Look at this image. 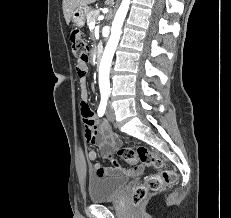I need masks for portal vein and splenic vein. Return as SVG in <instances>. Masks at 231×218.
<instances>
[{"label":"portal vein and splenic vein","mask_w":231,"mask_h":218,"mask_svg":"<svg viewBox=\"0 0 231 218\" xmlns=\"http://www.w3.org/2000/svg\"><path fill=\"white\" fill-rule=\"evenodd\" d=\"M95 27V22H91L90 24H89V28H94Z\"/></svg>","instance_id":"1"}]
</instances>
